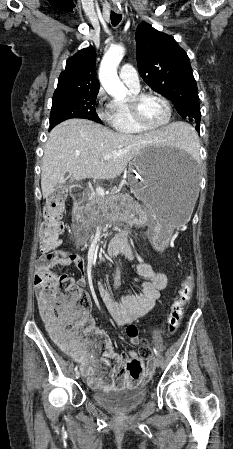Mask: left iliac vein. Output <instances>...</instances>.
<instances>
[{"label": "left iliac vein", "instance_id": "4c4485c4", "mask_svg": "<svg viewBox=\"0 0 233 449\" xmlns=\"http://www.w3.org/2000/svg\"><path fill=\"white\" fill-rule=\"evenodd\" d=\"M154 365H155L156 367H159V366L161 365V362H160L159 358L155 357V359H154Z\"/></svg>", "mask_w": 233, "mask_h": 449}]
</instances>
